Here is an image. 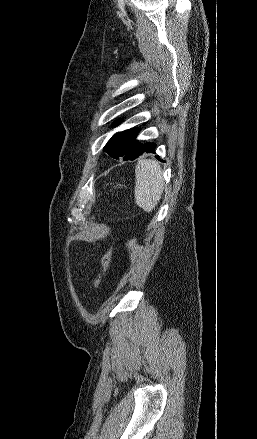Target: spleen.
<instances>
[{
    "label": "spleen",
    "instance_id": "spleen-1",
    "mask_svg": "<svg viewBox=\"0 0 257 439\" xmlns=\"http://www.w3.org/2000/svg\"><path fill=\"white\" fill-rule=\"evenodd\" d=\"M135 200L146 212H152L161 199L164 189L160 165L151 159H141L135 169Z\"/></svg>",
    "mask_w": 257,
    "mask_h": 439
}]
</instances>
